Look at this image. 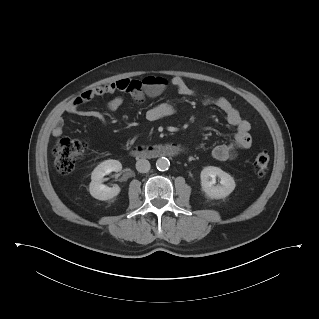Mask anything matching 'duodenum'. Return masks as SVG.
I'll list each match as a JSON object with an SVG mask.
<instances>
[{"instance_id": "1", "label": "duodenum", "mask_w": 319, "mask_h": 319, "mask_svg": "<svg viewBox=\"0 0 319 319\" xmlns=\"http://www.w3.org/2000/svg\"><path fill=\"white\" fill-rule=\"evenodd\" d=\"M131 153L139 158L172 157L177 153V149L174 144L165 143L154 146H137L131 149Z\"/></svg>"}]
</instances>
